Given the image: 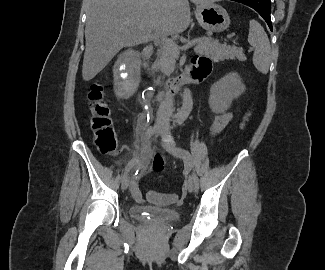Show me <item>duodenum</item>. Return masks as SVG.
<instances>
[{
	"label": "duodenum",
	"mask_w": 325,
	"mask_h": 270,
	"mask_svg": "<svg viewBox=\"0 0 325 270\" xmlns=\"http://www.w3.org/2000/svg\"><path fill=\"white\" fill-rule=\"evenodd\" d=\"M153 53V46L147 45L142 52V60H141V67L143 68V71L146 74V77L150 80L152 78L151 69L149 66V59ZM194 79L188 75L183 74L167 83V85L164 87L162 93H161V99L166 100L169 98H172L178 90L189 83L190 81H193Z\"/></svg>",
	"instance_id": "duodenum-1"
}]
</instances>
